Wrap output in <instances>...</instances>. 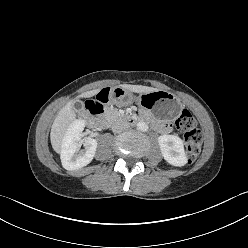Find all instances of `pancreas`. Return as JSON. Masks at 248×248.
<instances>
[{
    "label": "pancreas",
    "mask_w": 248,
    "mask_h": 248,
    "mask_svg": "<svg viewBox=\"0 0 248 248\" xmlns=\"http://www.w3.org/2000/svg\"><path fill=\"white\" fill-rule=\"evenodd\" d=\"M118 115H119V113H118V111H117L116 109L109 108V109L107 110L106 116H107V118H108L109 120H114V119H116V118L118 117Z\"/></svg>",
    "instance_id": "cf45deb5"
}]
</instances>
